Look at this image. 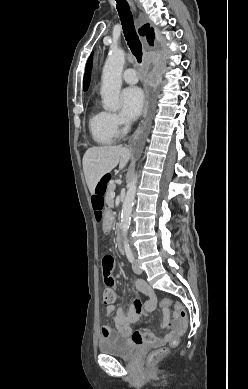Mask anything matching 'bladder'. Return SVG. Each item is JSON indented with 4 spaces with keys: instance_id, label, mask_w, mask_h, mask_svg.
<instances>
[{
    "instance_id": "31cf9c89",
    "label": "bladder",
    "mask_w": 248,
    "mask_h": 389,
    "mask_svg": "<svg viewBox=\"0 0 248 389\" xmlns=\"http://www.w3.org/2000/svg\"><path fill=\"white\" fill-rule=\"evenodd\" d=\"M103 355H110L120 358H131L136 352V345L127 338L118 334H110L104 337L98 345Z\"/></svg>"
}]
</instances>
